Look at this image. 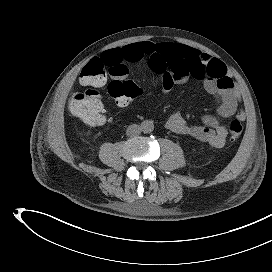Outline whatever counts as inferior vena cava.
I'll return each instance as SVG.
<instances>
[{
	"mask_svg": "<svg viewBox=\"0 0 272 272\" xmlns=\"http://www.w3.org/2000/svg\"><path fill=\"white\" fill-rule=\"evenodd\" d=\"M141 131L142 130L139 125L133 124L127 128L126 133H127V135H139L141 133Z\"/></svg>",
	"mask_w": 272,
	"mask_h": 272,
	"instance_id": "1",
	"label": "inferior vena cava"
}]
</instances>
